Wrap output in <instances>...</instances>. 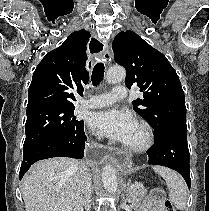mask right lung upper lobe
I'll list each match as a JSON object with an SVG mask.
<instances>
[{"label":"right lung upper lobe","instance_id":"right-lung-upper-lobe-1","mask_svg":"<svg viewBox=\"0 0 209 211\" xmlns=\"http://www.w3.org/2000/svg\"><path fill=\"white\" fill-rule=\"evenodd\" d=\"M90 33L73 32L58 48L45 55L36 67L28 90L27 112L44 108H75L72 91L83 94L90 63L87 43Z\"/></svg>","mask_w":209,"mask_h":211}]
</instances>
